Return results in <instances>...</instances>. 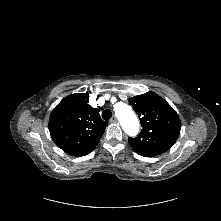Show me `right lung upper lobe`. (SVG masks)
I'll use <instances>...</instances> for the list:
<instances>
[{
	"mask_svg": "<svg viewBox=\"0 0 221 221\" xmlns=\"http://www.w3.org/2000/svg\"><path fill=\"white\" fill-rule=\"evenodd\" d=\"M106 126L99 111L89 105L88 93L65 97L52 111L48 125L57 146L72 156L89 154L99 143Z\"/></svg>",
	"mask_w": 221,
	"mask_h": 221,
	"instance_id": "cb5924a9",
	"label": "right lung upper lobe"
}]
</instances>
